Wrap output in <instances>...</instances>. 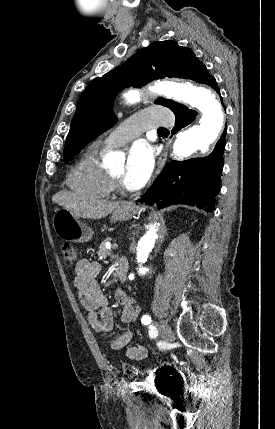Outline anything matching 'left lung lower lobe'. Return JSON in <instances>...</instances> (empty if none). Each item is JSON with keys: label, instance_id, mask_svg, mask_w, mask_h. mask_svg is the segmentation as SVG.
I'll use <instances>...</instances> for the list:
<instances>
[{"label": "left lung lower lobe", "instance_id": "left-lung-lower-lobe-1", "mask_svg": "<svg viewBox=\"0 0 275 429\" xmlns=\"http://www.w3.org/2000/svg\"><path fill=\"white\" fill-rule=\"evenodd\" d=\"M197 82L207 84L219 93L216 80L208 73L206 66L201 68ZM172 111L176 115L172 133H177L191 124L197 115L196 111L184 105H179ZM226 132L225 128L214 150L208 156L168 163L139 201L158 205L159 208L173 204H186L207 212L213 211L215 197L220 188Z\"/></svg>", "mask_w": 275, "mask_h": 429}]
</instances>
